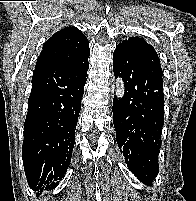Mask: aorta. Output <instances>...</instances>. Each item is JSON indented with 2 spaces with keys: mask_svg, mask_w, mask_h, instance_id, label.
I'll return each mask as SVG.
<instances>
[{
  "mask_svg": "<svg viewBox=\"0 0 196 201\" xmlns=\"http://www.w3.org/2000/svg\"><path fill=\"white\" fill-rule=\"evenodd\" d=\"M125 88L123 81L120 77L117 78L116 80V97L118 99H121L124 96Z\"/></svg>",
  "mask_w": 196,
  "mask_h": 201,
  "instance_id": "1",
  "label": "aorta"
}]
</instances>
